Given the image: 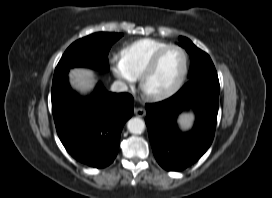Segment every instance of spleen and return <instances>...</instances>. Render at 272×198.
<instances>
[{
	"mask_svg": "<svg viewBox=\"0 0 272 198\" xmlns=\"http://www.w3.org/2000/svg\"><path fill=\"white\" fill-rule=\"evenodd\" d=\"M194 120L193 114L183 113L178 118V123L182 128H189Z\"/></svg>",
	"mask_w": 272,
	"mask_h": 198,
	"instance_id": "obj_1",
	"label": "spleen"
}]
</instances>
